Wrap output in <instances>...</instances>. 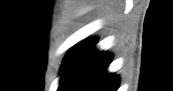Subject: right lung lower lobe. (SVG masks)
<instances>
[{
	"mask_svg": "<svg viewBox=\"0 0 173 91\" xmlns=\"http://www.w3.org/2000/svg\"><path fill=\"white\" fill-rule=\"evenodd\" d=\"M95 40L75 46L66 56L62 67L59 91H116L119 80L106 68L111 55L94 50Z\"/></svg>",
	"mask_w": 173,
	"mask_h": 91,
	"instance_id": "1",
	"label": "right lung lower lobe"
}]
</instances>
